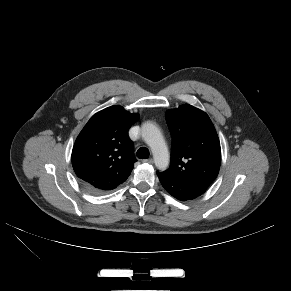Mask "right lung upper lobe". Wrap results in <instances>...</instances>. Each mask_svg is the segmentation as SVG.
Segmentation results:
<instances>
[{
  "mask_svg": "<svg viewBox=\"0 0 291 291\" xmlns=\"http://www.w3.org/2000/svg\"><path fill=\"white\" fill-rule=\"evenodd\" d=\"M138 117L118 105L91 117L72 150L73 169L82 182L107 191L127 180L136 161L128 129Z\"/></svg>",
  "mask_w": 291,
  "mask_h": 291,
  "instance_id": "1",
  "label": "right lung upper lobe"
}]
</instances>
